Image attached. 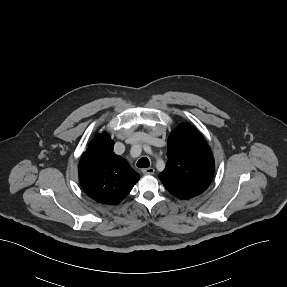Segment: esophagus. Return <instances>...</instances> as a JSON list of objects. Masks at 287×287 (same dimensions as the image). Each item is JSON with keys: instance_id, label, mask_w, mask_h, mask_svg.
<instances>
[{"instance_id": "1", "label": "esophagus", "mask_w": 287, "mask_h": 287, "mask_svg": "<svg viewBox=\"0 0 287 287\" xmlns=\"http://www.w3.org/2000/svg\"><path fill=\"white\" fill-rule=\"evenodd\" d=\"M155 170L154 168H144L142 169L143 174H154Z\"/></svg>"}]
</instances>
